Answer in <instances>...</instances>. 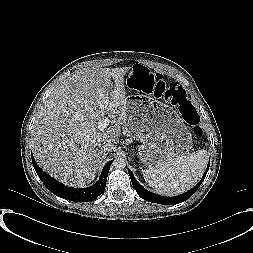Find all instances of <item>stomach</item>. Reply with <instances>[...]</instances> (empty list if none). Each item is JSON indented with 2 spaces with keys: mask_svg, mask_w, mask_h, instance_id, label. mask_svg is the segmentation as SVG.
Returning <instances> with one entry per match:
<instances>
[{
  "mask_svg": "<svg viewBox=\"0 0 253 253\" xmlns=\"http://www.w3.org/2000/svg\"><path fill=\"white\" fill-rule=\"evenodd\" d=\"M124 129L141 142L139 161L147 166L169 161L189 152L192 134L181 115L152 97H126Z\"/></svg>",
  "mask_w": 253,
  "mask_h": 253,
  "instance_id": "1",
  "label": "stomach"
}]
</instances>
